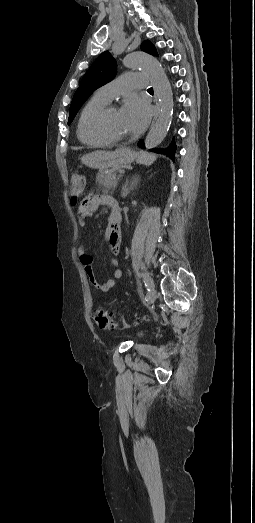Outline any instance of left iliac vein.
I'll use <instances>...</instances> for the list:
<instances>
[{"instance_id": "obj_1", "label": "left iliac vein", "mask_w": 255, "mask_h": 523, "mask_svg": "<svg viewBox=\"0 0 255 523\" xmlns=\"http://www.w3.org/2000/svg\"><path fill=\"white\" fill-rule=\"evenodd\" d=\"M145 278L147 280V283L150 285V286H154V281L152 279V277L148 274H145ZM157 298V292L155 290L151 291L149 293V296H148V304H152L155 302Z\"/></svg>"}]
</instances>
